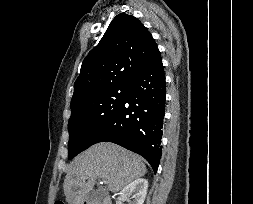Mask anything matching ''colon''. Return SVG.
Returning <instances> with one entry per match:
<instances>
[{
	"instance_id": "obj_1",
	"label": "colon",
	"mask_w": 253,
	"mask_h": 204,
	"mask_svg": "<svg viewBox=\"0 0 253 204\" xmlns=\"http://www.w3.org/2000/svg\"><path fill=\"white\" fill-rule=\"evenodd\" d=\"M54 204H65V202L62 201V200H56V201L54 202Z\"/></svg>"
}]
</instances>
